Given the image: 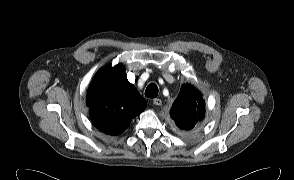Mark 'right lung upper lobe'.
<instances>
[{
	"label": "right lung upper lobe",
	"instance_id": "cb5924a9",
	"mask_svg": "<svg viewBox=\"0 0 294 180\" xmlns=\"http://www.w3.org/2000/svg\"><path fill=\"white\" fill-rule=\"evenodd\" d=\"M86 101L94 125L109 135L122 133L146 108V100L129 83L120 64L107 65L97 72Z\"/></svg>",
	"mask_w": 294,
	"mask_h": 180
}]
</instances>
